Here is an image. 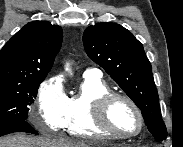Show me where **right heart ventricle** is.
Here are the masks:
<instances>
[{"instance_id": "obj_1", "label": "right heart ventricle", "mask_w": 183, "mask_h": 147, "mask_svg": "<svg viewBox=\"0 0 183 147\" xmlns=\"http://www.w3.org/2000/svg\"><path fill=\"white\" fill-rule=\"evenodd\" d=\"M110 92L108 85L100 79L84 78L77 93L67 97L64 129L72 136L94 139L110 137L100 129L93 117V103Z\"/></svg>"}]
</instances>
